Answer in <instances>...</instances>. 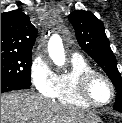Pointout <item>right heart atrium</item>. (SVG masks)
<instances>
[{"label":"right heart atrium","instance_id":"1","mask_svg":"<svg viewBox=\"0 0 122 123\" xmlns=\"http://www.w3.org/2000/svg\"><path fill=\"white\" fill-rule=\"evenodd\" d=\"M30 78L34 88L44 97L52 98L56 88L57 74L47 58L36 56L30 67Z\"/></svg>","mask_w":122,"mask_h":123}]
</instances>
